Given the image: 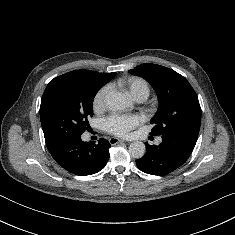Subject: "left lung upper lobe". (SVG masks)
Returning <instances> with one entry per match:
<instances>
[{"label":"left lung upper lobe","instance_id":"obj_1","mask_svg":"<svg viewBox=\"0 0 235 235\" xmlns=\"http://www.w3.org/2000/svg\"><path fill=\"white\" fill-rule=\"evenodd\" d=\"M129 72L147 80L155 89L159 109L151 119V135L199 134L201 108L195 91L179 73L164 66L145 63Z\"/></svg>","mask_w":235,"mask_h":235}]
</instances>
